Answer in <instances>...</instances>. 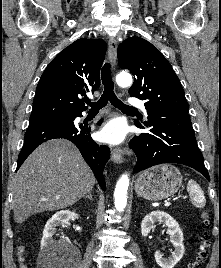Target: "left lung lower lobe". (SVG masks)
<instances>
[{
  "mask_svg": "<svg viewBox=\"0 0 221 268\" xmlns=\"http://www.w3.org/2000/svg\"><path fill=\"white\" fill-rule=\"evenodd\" d=\"M148 121L138 128H150V133L135 135L129 142L136 156L134 173L162 163H178L190 166L202 173L208 181L188 112L174 110H147Z\"/></svg>",
  "mask_w": 221,
  "mask_h": 268,
  "instance_id": "left-lung-lower-lobe-1",
  "label": "left lung lower lobe"
}]
</instances>
